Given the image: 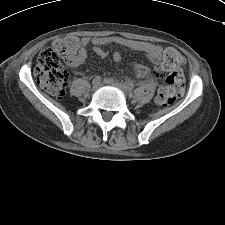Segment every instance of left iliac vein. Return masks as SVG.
<instances>
[{"mask_svg": "<svg viewBox=\"0 0 225 225\" xmlns=\"http://www.w3.org/2000/svg\"><path fill=\"white\" fill-rule=\"evenodd\" d=\"M110 83H111L114 87H116V88H118L120 91H122L125 95L128 94L129 88H128L127 85H125V84H123V83H120V82H118V81H113V80H111Z\"/></svg>", "mask_w": 225, "mask_h": 225, "instance_id": "left-iliac-vein-1", "label": "left iliac vein"}]
</instances>
